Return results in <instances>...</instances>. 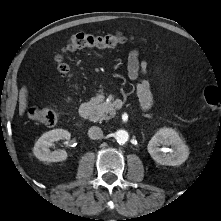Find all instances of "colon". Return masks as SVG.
<instances>
[{
    "label": "colon",
    "instance_id": "5ec220e1",
    "mask_svg": "<svg viewBox=\"0 0 221 221\" xmlns=\"http://www.w3.org/2000/svg\"><path fill=\"white\" fill-rule=\"evenodd\" d=\"M125 41L126 37L122 32L107 35L77 33L68 39L63 51H75L84 48L105 50L115 48ZM56 61L59 73L63 77H69V65L62 60L61 56H58ZM203 96L210 109H216L221 105V94L215 87H206ZM28 115L35 122L45 126H54L59 120V112L53 108L34 106L29 109Z\"/></svg>",
    "mask_w": 221,
    "mask_h": 221
}]
</instances>
